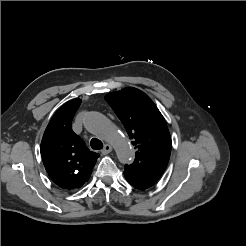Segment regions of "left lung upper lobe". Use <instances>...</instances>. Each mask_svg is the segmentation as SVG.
Masks as SVG:
<instances>
[{
    "label": "left lung upper lobe",
    "mask_w": 246,
    "mask_h": 246,
    "mask_svg": "<svg viewBox=\"0 0 246 246\" xmlns=\"http://www.w3.org/2000/svg\"><path fill=\"white\" fill-rule=\"evenodd\" d=\"M105 100L136 149L134 162L125 167L156 182L168 164L172 145L164 117L144 92L133 87L109 93Z\"/></svg>",
    "instance_id": "left-lung-upper-lobe-1"
}]
</instances>
